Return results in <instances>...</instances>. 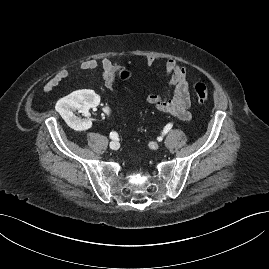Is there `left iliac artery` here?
Instances as JSON below:
<instances>
[{
    "label": "left iliac artery",
    "instance_id": "obj_1",
    "mask_svg": "<svg viewBox=\"0 0 269 269\" xmlns=\"http://www.w3.org/2000/svg\"><path fill=\"white\" fill-rule=\"evenodd\" d=\"M173 124L172 123H168L163 130V134L165 135L166 133H168V131H170V129L172 128Z\"/></svg>",
    "mask_w": 269,
    "mask_h": 269
}]
</instances>
